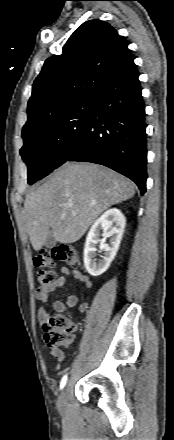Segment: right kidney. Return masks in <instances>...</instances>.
<instances>
[{
	"mask_svg": "<svg viewBox=\"0 0 174 440\" xmlns=\"http://www.w3.org/2000/svg\"><path fill=\"white\" fill-rule=\"evenodd\" d=\"M125 224V216L116 208L107 210L94 222L88 232L84 248V266L90 275L99 276L108 269L118 251ZM100 231L103 232L102 239H100ZM107 238H110L109 244H106ZM98 243L100 250L104 251V256L97 262L95 252Z\"/></svg>",
	"mask_w": 174,
	"mask_h": 440,
	"instance_id": "right-kidney-1",
	"label": "right kidney"
}]
</instances>
